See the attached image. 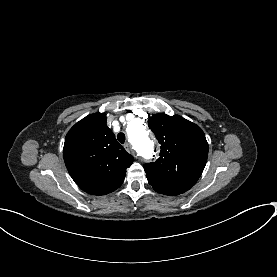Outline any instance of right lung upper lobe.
<instances>
[{
	"mask_svg": "<svg viewBox=\"0 0 277 277\" xmlns=\"http://www.w3.org/2000/svg\"><path fill=\"white\" fill-rule=\"evenodd\" d=\"M63 157L74 182L91 195L119 188L133 162L107 127L105 113L88 115L70 129Z\"/></svg>",
	"mask_w": 277,
	"mask_h": 277,
	"instance_id": "1",
	"label": "right lung upper lobe"
}]
</instances>
